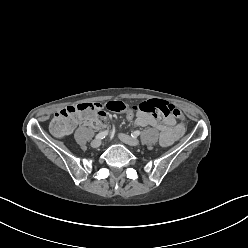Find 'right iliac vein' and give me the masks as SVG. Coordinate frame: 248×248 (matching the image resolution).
Returning <instances> with one entry per match:
<instances>
[{"label": "right iliac vein", "mask_w": 248, "mask_h": 248, "mask_svg": "<svg viewBox=\"0 0 248 248\" xmlns=\"http://www.w3.org/2000/svg\"><path fill=\"white\" fill-rule=\"evenodd\" d=\"M100 145H101V140H100V139H94V140L91 142V146H92L93 148H98Z\"/></svg>", "instance_id": "1"}]
</instances>
